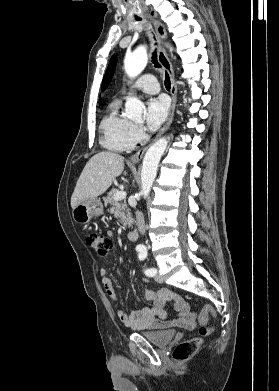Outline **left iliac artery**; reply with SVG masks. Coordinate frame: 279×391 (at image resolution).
Wrapping results in <instances>:
<instances>
[{
	"mask_svg": "<svg viewBox=\"0 0 279 391\" xmlns=\"http://www.w3.org/2000/svg\"><path fill=\"white\" fill-rule=\"evenodd\" d=\"M138 251L140 252L138 255L139 260H145L147 257V251L142 249H139ZM144 273L149 277H153L157 273V270L155 268H146Z\"/></svg>",
	"mask_w": 279,
	"mask_h": 391,
	"instance_id": "1",
	"label": "left iliac artery"
}]
</instances>
